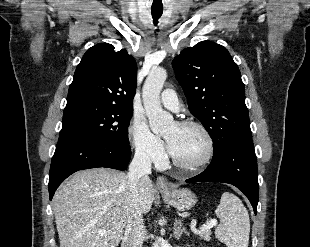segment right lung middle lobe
<instances>
[{
	"instance_id": "1",
	"label": "right lung middle lobe",
	"mask_w": 310,
	"mask_h": 247,
	"mask_svg": "<svg viewBox=\"0 0 310 247\" xmlns=\"http://www.w3.org/2000/svg\"><path fill=\"white\" fill-rule=\"evenodd\" d=\"M133 110L76 107L64 110L59 137L81 135L112 145H126Z\"/></svg>"
}]
</instances>
